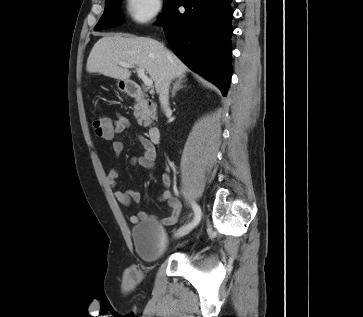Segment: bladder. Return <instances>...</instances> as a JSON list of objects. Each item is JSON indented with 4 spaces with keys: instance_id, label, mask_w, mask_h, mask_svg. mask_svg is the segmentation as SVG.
Listing matches in <instances>:
<instances>
[{
    "instance_id": "31cf9c89",
    "label": "bladder",
    "mask_w": 363,
    "mask_h": 317,
    "mask_svg": "<svg viewBox=\"0 0 363 317\" xmlns=\"http://www.w3.org/2000/svg\"><path fill=\"white\" fill-rule=\"evenodd\" d=\"M164 228L156 221L145 220L135 224L131 238L136 252L146 263H153L165 256Z\"/></svg>"
}]
</instances>
